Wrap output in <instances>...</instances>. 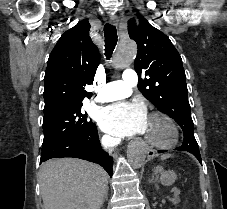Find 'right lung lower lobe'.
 Here are the masks:
<instances>
[{"label":"right lung lower lobe","mask_w":227,"mask_h":209,"mask_svg":"<svg viewBox=\"0 0 227 209\" xmlns=\"http://www.w3.org/2000/svg\"><path fill=\"white\" fill-rule=\"evenodd\" d=\"M73 157L101 165L112 176L113 161L101 148L96 125L86 133L70 134L42 144L40 163L51 158Z\"/></svg>","instance_id":"obj_1"}]
</instances>
